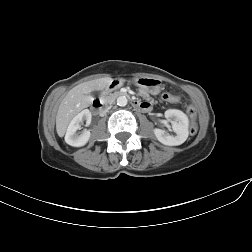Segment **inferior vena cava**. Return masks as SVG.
<instances>
[{"instance_id":"obj_1","label":"inferior vena cava","mask_w":252,"mask_h":252,"mask_svg":"<svg viewBox=\"0 0 252 252\" xmlns=\"http://www.w3.org/2000/svg\"><path fill=\"white\" fill-rule=\"evenodd\" d=\"M108 111V109H106L104 112H103V115Z\"/></svg>"}]
</instances>
